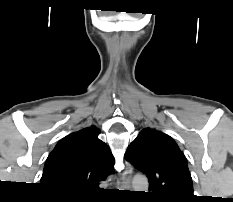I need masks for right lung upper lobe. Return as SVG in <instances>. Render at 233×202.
I'll use <instances>...</instances> for the list:
<instances>
[{"mask_svg":"<svg viewBox=\"0 0 233 202\" xmlns=\"http://www.w3.org/2000/svg\"><path fill=\"white\" fill-rule=\"evenodd\" d=\"M95 127L61 139L45 163L41 184L57 196L86 197L113 170L114 157Z\"/></svg>","mask_w":233,"mask_h":202,"instance_id":"right-lung-upper-lobe-1","label":"right lung upper lobe"}]
</instances>
